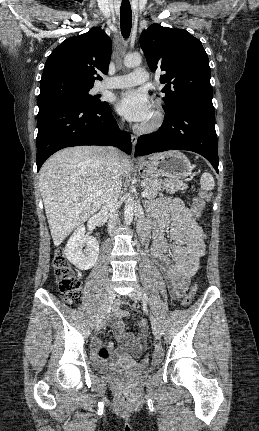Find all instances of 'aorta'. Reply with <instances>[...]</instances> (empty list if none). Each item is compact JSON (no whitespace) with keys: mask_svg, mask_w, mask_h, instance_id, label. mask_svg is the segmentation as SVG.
<instances>
[{"mask_svg":"<svg viewBox=\"0 0 259 431\" xmlns=\"http://www.w3.org/2000/svg\"><path fill=\"white\" fill-rule=\"evenodd\" d=\"M141 62H142V57L140 54H129V55H126L124 58V65L127 68L137 67L141 64ZM134 204H135L134 198L130 194H127V199L124 207V220L126 225H130L133 221Z\"/></svg>","mask_w":259,"mask_h":431,"instance_id":"obj_1","label":"aorta"}]
</instances>
